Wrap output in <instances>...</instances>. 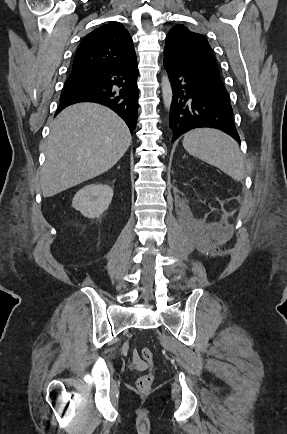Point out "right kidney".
Masks as SVG:
<instances>
[{
    "label": "right kidney",
    "mask_w": 287,
    "mask_h": 434,
    "mask_svg": "<svg viewBox=\"0 0 287 434\" xmlns=\"http://www.w3.org/2000/svg\"><path fill=\"white\" fill-rule=\"evenodd\" d=\"M113 197V189L106 184H90L79 190L73 200L72 207L88 218L99 217L105 212Z\"/></svg>",
    "instance_id": "right-kidney-1"
}]
</instances>
